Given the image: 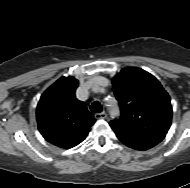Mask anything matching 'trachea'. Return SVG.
Listing matches in <instances>:
<instances>
[{
  "label": "trachea",
  "instance_id": "3493384b",
  "mask_svg": "<svg viewBox=\"0 0 190 188\" xmlns=\"http://www.w3.org/2000/svg\"><path fill=\"white\" fill-rule=\"evenodd\" d=\"M90 110L92 112L100 113L102 112V105L98 101H94L92 105L90 106Z\"/></svg>",
  "mask_w": 190,
  "mask_h": 188
}]
</instances>
